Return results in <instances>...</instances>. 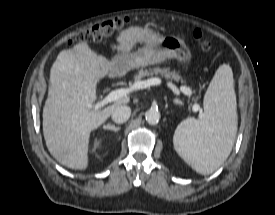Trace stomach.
Instances as JSON below:
<instances>
[{"instance_id": "stomach-1", "label": "stomach", "mask_w": 275, "mask_h": 215, "mask_svg": "<svg viewBox=\"0 0 275 215\" xmlns=\"http://www.w3.org/2000/svg\"><path fill=\"white\" fill-rule=\"evenodd\" d=\"M166 59H176L188 64L191 61V53L179 38L161 37L151 47L133 54L117 55L112 61L116 62V73L125 74L129 70L159 63Z\"/></svg>"}]
</instances>
